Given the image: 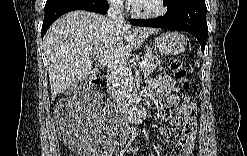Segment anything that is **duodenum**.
Returning <instances> with one entry per match:
<instances>
[{"instance_id": "410a0bca", "label": "duodenum", "mask_w": 247, "mask_h": 156, "mask_svg": "<svg viewBox=\"0 0 247 156\" xmlns=\"http://www.w3.org/2000/svg\"><path fill=\"white\" fill-rule=\"evenodd\" d=\"M106 79L109 83L113 81V77L110 75ZM124 109L129 117L135 121H142L146 117V112L140 107L139 99L136 95L128 98Z\"/></svg>"}]
</instances>
